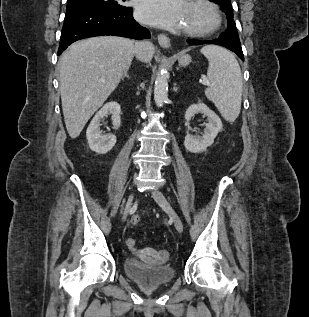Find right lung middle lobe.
<instances>
[{
  "instance_id": "right-lung-middle-lobe-1",
  "label": "right lung middle lobe",
  "mask_w": 309,
  "mask_h": 317,
  "mask_svg": "<svg viewBox=\"0 0 309 317\" xmlns=\"http://www.w3.org/2000/svg\"><path fill=\"white\" fill-rule=\"evenodd\" d=\"M125 0H68V3L91 4L111 9H125L127 6L122 2Z\"/></svg>"
}]
</instances>
